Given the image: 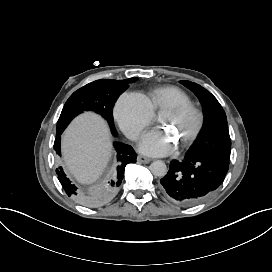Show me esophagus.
I'll list each match as a JSON object with an SVG mask.
<instances>
[{"label":"esophagus","instance_id":"1","mask_svg":"<svg viewBox=\"0 0 272 272\" xmlns=\"http://www.w3.org/2000/svg\"><path fill=\"white\" fill-rule=\"evenodd\" d=\"M137 160L140 162V163H144V164H147V163H150L151 162V159L148 158V157H145V156H142V155H139L137 157Z\"/></svg>","mask_w":272,"mask_h":272}]
</instances>
